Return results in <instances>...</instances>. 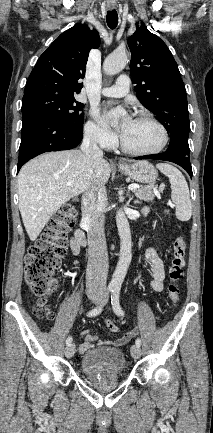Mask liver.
I'll list each match as a JSON object with an SVG mask.
<instances>
[{
	"instance_id": "6515ba94",
	"label": "liver",
	"mask_w": 213,
	"mask_h": 433,
	"mask_svg": "<svg viewBox=\"0 0 213 433\" xmlns=\"http://www.w3.org/2000/svg\"><path fill=\"white\" fill-rule=\"evenodd\" d=\"M111 169L103 158L80 150L45 153L27 162L18 174L19 210L26 232L35 241L51 216L92 185H105ZM71 182V186L67 183Z\"/></svg>"
}]
</instances>
